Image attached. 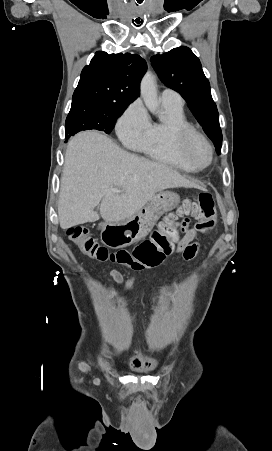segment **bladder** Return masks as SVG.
<instances>
[{"instance_id": "bladder-1", "label": "bladder", "mask_w": 272, "mask_h": 451, "mask_svg": "<svg viewBox=\"0 0 272 451\" xmlns=\"http://www.w3.org/2000/svg\"><path fill=\"white\" fill-rule=\"evenodd\" d=\"M133 358H137V359H145L147 358L146 354L143 352H136L132 355ZM152 362V366L156 367L158 365V362L154 359L151 360Z\"/></svg>"}]
</instances>
